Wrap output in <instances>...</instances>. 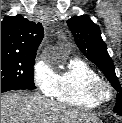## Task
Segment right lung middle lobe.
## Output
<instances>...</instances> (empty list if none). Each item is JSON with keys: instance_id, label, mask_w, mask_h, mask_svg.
<instances>
[{"instance_id": "dd1d6c3e", "label": "right lung middle lobe", "mask_w": 122, "mask_h": 123, "mask_svg": "<svg viewBox=\"0 0 122 123\" xmlns=\"http://www.w3.org/2000/svg\"><path fill=\"white\" fill-rule=\"evenodd\" d=\"M34 64L35 55L1 54V84H14L24 89H35Z\"/></svg>"}]
</instances>
